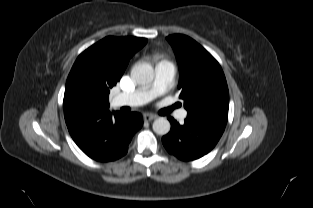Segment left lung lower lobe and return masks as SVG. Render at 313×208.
I'll list each match as a JSON object with an SVG mask.
<instances>
[{
  "mask_svg": "<svg viewBox=\"0 0 313 208\" xmlns=\"http://www.w3.org/2000/svg\"><path fill=\"white\" fill-rule=\"evenodd\" d=\"M170 132L162 137L166 150L183 161L198 159L209 153L217 144L224 128L199 124L185 119L180 125L174 118L168 117Z\"/></svg>",
  "mask_w": 313,
  "mask_h": 208,
  "instance_id": "0a47b994",
  "label": "left lung lower lobe"
}]
</instances>
